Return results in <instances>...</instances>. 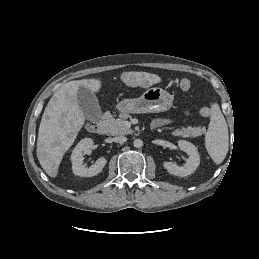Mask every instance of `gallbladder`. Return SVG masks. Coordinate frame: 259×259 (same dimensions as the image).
<instances>
[{"label": "gallbladder", "mask_w": 259, "mask_h": 259, "mask_svg": "<svg viewBox=\"0 0 259 259\" xmlns=\"http://www.w3.org/2000/svg\"><path fill=\"white\" fill-rule=\"evenodd\" d=\"M78 105L85 118L92 122L98 123L102 119V111L96 95L87 87L80 86L77 91Z\"/></svg>", "instance_id": "1"}]
</instances>
